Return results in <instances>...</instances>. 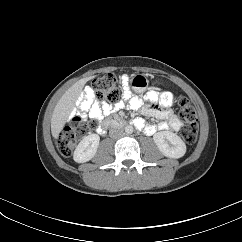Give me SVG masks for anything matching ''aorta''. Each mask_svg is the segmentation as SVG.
<instances>
[{
    "label": "aorta",
    "instance_id": "aorta-1",
    "mask_svg": "<svg viewBox=\"0 0 242 242\" xmlns=\"http://www.w3.org/2000/svg\"><path fill=\"white\" fill-rule=\"evenodd\" d=\"M133 131H134L133 126H131V125H127V126L125 127V133H126V134H132Z\"/></svg>",
    "mask_w": 242,
    "mask_h": 242
}]
</instances>
